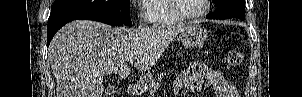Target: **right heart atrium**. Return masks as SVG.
<instances>
[{
  "label": "right heart atrium",
  "mask_w": 302,
  "mask_h": 97,
  "mask_svg": "<svg viewBox=\"0 0 302 97\" xmlns=\"http://www.w3.org/2000/svg\"><path fill=\"white\" fill-rule=\"evenodd\" d=\"M147 2L149 0H146ZM137 17L141 22H148L150 21V18L148 16V14L146 13L145 9L140 7L137 11Z\"/></svg>",
  "instance_id": "d8ad5b80"
}]
</instances>
